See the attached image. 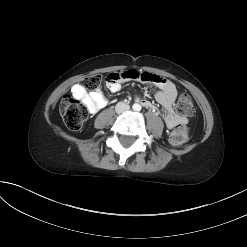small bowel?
I'll use <instances>...</instances> for the list:
<instances>
[{"instance_id":"small-bowel-1","label":"small bowel","mask_w":247,"mask_h":247,"mask_svg":"<svg viewBox=\"0 0 247 247\" xmlns=\"http://www.w3.org/2000/svg\"><path fill=\"white\" fill-rule=\"evenodd\" d=\"M148 72H139L137 69L129 71H111L105 75L107 88L111 92H117L121 88V84L143 83L146 86L155 85L158 90L155 93V99L164 108L163 118L168 128L172 129L179 124L186 122L184 118L179 117L173 110V104L177 98L178 92L173 82L166 78L151 74ZM72 97L81 101L88 111L92 114L97 113L106 104L107 100L102 95L100 89L87 92L80 84H75L71 88ZM145 107L152 108L153 105L147 100H142Z\"/></svg>"}]
</instances>
